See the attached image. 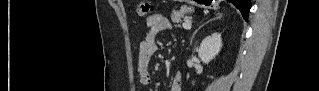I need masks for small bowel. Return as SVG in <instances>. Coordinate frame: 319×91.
<instances>
[{"label": "small bowel", "instance_id": "obj_1", "mask_svg": "<svg viewBox=\"0 0 319 91\" xmlns=\"http://www.w3.org/2000/svg\"><path fill=\"white\" fill-rule=\"evenodd\" d=\"M147 33L138 44V58L136 72L141 85H148L152 82L151 59L158 52L156 37L163 32H170L172 24L167 17L162 14H152L146 19ZM181 74L176 72L171 79L170 91H181Z\"/></svg>", "mask_w": 319, "mask_h": 91}]
</instances>
